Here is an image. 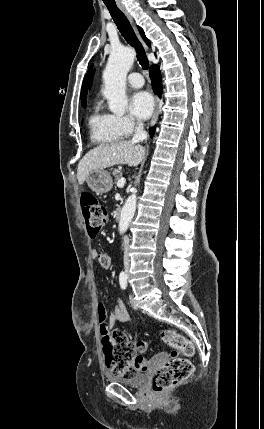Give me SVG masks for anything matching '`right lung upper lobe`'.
Segmentation results:
<instances>
[{
  "label": "right lung upper lobe",
  "instance_id": "1",
  "mask_svg": "<svg viewBox=\"0 0 264 429\" xmlns=\"http://www.w3.org/2000/svg\"><path fill=\"white\" fill-rule=\"evenodd\" d=\"M138 30H139V32H140V34H141L142 38L144 39V41H145L148 45H150V42H149V40L146 38V36H145V34H144V32H143L142 28L138 27ZM91 69H92V66L90 67V69H89L88 73L86 74V76H85V78H84V81H83L82 88H81V101H82V106H83V105H86L87 84H88V79H89V76H90Z\"/></svg>",
  "mask_w": 264,
  "mask_h": 429
}]
</instances>
